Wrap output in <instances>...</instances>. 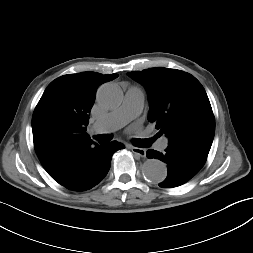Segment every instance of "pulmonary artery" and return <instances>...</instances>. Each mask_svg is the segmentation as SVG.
I'll use <instances>...</instances> for the list:
<instances>
[{
	"instance_id": "1",
	"label": "pulmonary artery",
	"mask_w": 253,
	"mask_h": 253,
	"mask_svg": "<svg viewBox=\"0 0 253 253\" xmlns=\"http://www.w3.org/2000/svg\"><path fill=\"white\" fill-rule=\"evenodd\" d=\"M144 101V94L138 87H130L124 97L122 105L108 113L102 119L96 121L91 130L94 133H109L117 130L136 118L142 111ZM168 146V139L166 137L161 138L157 143V149L164 151Z\"/></svg>"
}]
</instances>
